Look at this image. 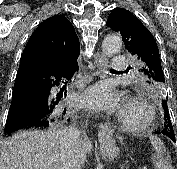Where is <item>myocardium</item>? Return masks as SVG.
Returning a JSON list of instances; mask_svg holds the SVG:
<instances>
[{
    "label": "myocardium",
    "mask_w": 177,
    "mask_h": 169,
    "mask_svg": "<svg viewBox=\"0 0 177 169\" xmlns=\"http://www.w3.org/2000/svg\"><path fill=\"white\" fill-rule=\"evenodd\" d=\"M133 109L138 113L136 118H127L125 110ZM155 114L152 107L140 96L132 95L128 98L123 109L117 115L119 126L132 133L146 131L154 122Z\"/></svg>",
    "instance_id": "1"
}]
</instances>
